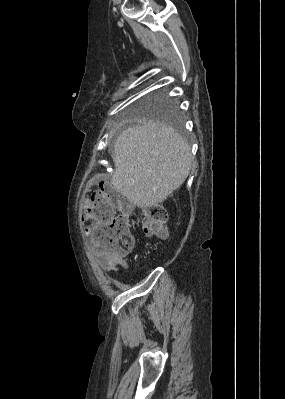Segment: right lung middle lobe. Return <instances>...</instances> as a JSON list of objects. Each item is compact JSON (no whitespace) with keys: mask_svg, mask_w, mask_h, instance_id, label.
Wrapping results in <instances>:
<instances>
[{"mask_svg":"<svg viewBox=\"0 0 285 399\" xmlns=\"http://www.w3.org/2000/svg\"><path fill=\"white\" fill-rule=\"evenodd\" d=\"M142 116L154 117L164 122L173 124L177 116V108L173 102L162 96L155 99H149L140 105Z\"/></svg>","mask_w":285,"mask_h":399,"instance_id":"right-lung-middle-lobe-1","label":"right lung middle lobe"}]
</instances>
